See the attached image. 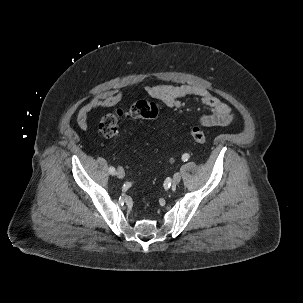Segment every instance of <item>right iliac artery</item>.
Here are the masks:
<instances>
[{"mask_svg":"<svg viewBox=\"0 0 303 303\" xmlns=\"http://www.w3.org/2000/svg\"><path fill=\"white\" fill-rule=\"evenodd\" d=\"M109 173H110L111 175H115L116 170H115V168H114L113 166H110V167H109Z\"/></svg>","mask_w":303,"mask_h":303,"instance_id":"1","label":"right iliac artery"}]
</instances>
